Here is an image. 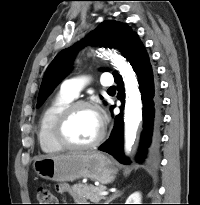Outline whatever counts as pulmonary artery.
I'll return each mask as SVG.
<instances>
[{
  "instance_id": "e3ab8cb5",
  "label": "pulmonary artery",
  "mask_w": 200,
  "mask_h": 205,
  "mask_svg": "<svg viewBox=\"0 0 200 205\" xmlns=\"http://www.w3.org/2000/svg\"><path fill=\"white\" fill-rule=\"evenodd\" d=\"M100 82L103 86H111L113 79L109 74H103ZM87 83L85 77H75L65 80L61 85V91L72 98H76Z\"/></svg>"
}]
</instances>
